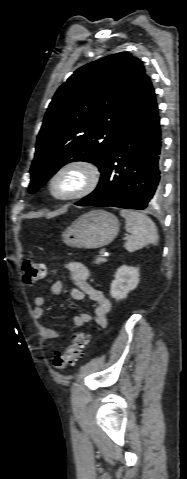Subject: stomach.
Returning <instances> with one entry per match:
<instances>
[{"mask_svg":"<svg viewBox=\"0 0 187 479\" xmlns=\"http://www.w3.org/2000/svg\"><path fill=\"white\" fill-rule=\"evenodd\" d=\"M115 215L93 210L75 220L62 234L63 241L72 247L99 248L111 243L119 232Z\"/></svg>","mask_w":187,"mask_h":479,"instance_id":"obj_1","label":"stomach"}]
</instances>
